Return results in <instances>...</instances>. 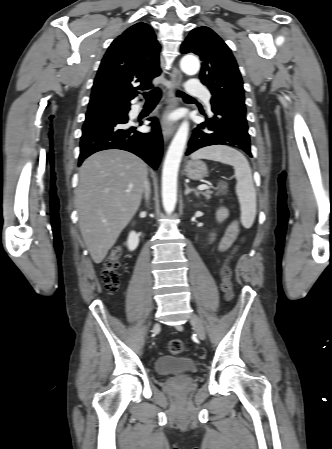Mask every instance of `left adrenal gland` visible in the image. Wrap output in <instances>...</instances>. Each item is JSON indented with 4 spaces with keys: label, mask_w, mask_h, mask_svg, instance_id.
Listing matches in <instances>:
<instances>
[{
    "label": "left adrenal gland",
    "mask_w": 332,
    "mask_h": 449,
    "mask_svg": "<svg viewBox=\"0 0 332 449\" xmlns=\"http://www.w3.org/2000/svg\"><path fill=\"white\" fill-rule=\"evenodd\" d=\"M191 192H194V194H195L196 196H198L197 190H195V189H193V188H190V187L188 186V184H185V192H184V194H185V195H188V194L191 193Z\"/></svg>",
    "instance_id": "1"
}]
</instances>
